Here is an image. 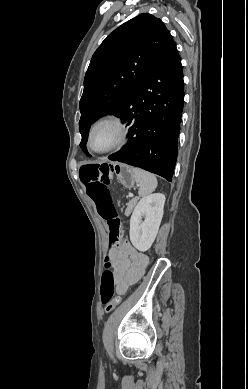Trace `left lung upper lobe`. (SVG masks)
Here are the masks:
<instances>
[{"label":"left lung upper lobe","instance_id":"obj_1","mask_svg":"<svg viewBox=\"0 0 248 389\" xmlns=\"http://www.w3.org/2000/svg\"><path fill=\"white\" fill-rule=\"evenodd\" d=\"M173 44L164 23L143 13L115 29L95 51L79 106L80 147L88 156L86 143L92 123L107 114L118 115Z\"/></svg>","mask_w":248,"mask_h":389}]
</instances>
